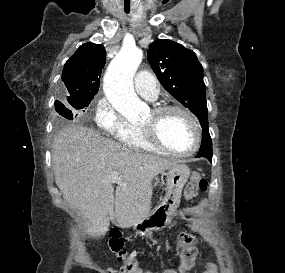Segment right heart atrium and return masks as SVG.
Wrapping results in <instances>:
<instances>
[{"label": "right heart atrium", "mask_w": 285, "mask_h": 273, "mask_svg": "<svg viewBox=\"0 0 285 273\" xmlns=\"http://www.w3.org/2000/svg\"><path fill=\"white\" fill-rule=\"evenodd\" d=\"M94 120L96 126L102 132L118 139L128 133L133 126L105 98L97 102L94 111Z\"/></svg>", "instance_id": "obj_1"}]
</instances>
